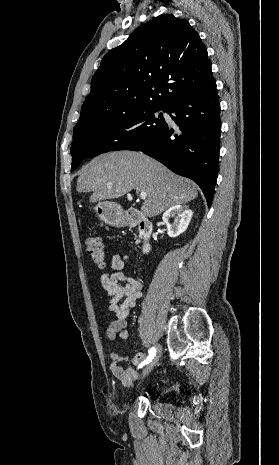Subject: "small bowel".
Listing matches in <instances>:
<instances>
[{
	"label": "small bowel",
	"instance_id": "obj_1",
	"mask_svg": "<svg viewBox=\"0 0 279 465\" xmlns=\"http://www.w3.org/2000/svg\"><path fill=\"white\" fill-rule=\"evenodd\" d=\"M126 264L127 256L114 254L111 261L113 272L103 273L100 277L102 288L108 297V310L116 316L106 331V335L111 341L115 340L118 334L121 341L127 342L129 340V333L125 330L126 318L142 296V284L123 272ZM110 359V370L113 376L123 386L129 387L139 376V371L135 366L138 365L139 368L145 359V354L138 352L132 358H128L112 352ZM122 363H125L126 366L122 367Z\"/></svg>",
	"mask_w": 279,
	"mask_h": 465
}]
</instances>
